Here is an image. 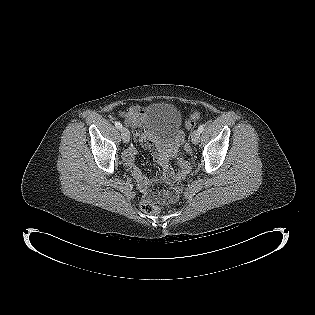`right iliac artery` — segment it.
<instances>
[{
    "mask_svg": "<svg viewBox=\"0 0 315 315\" xmlns=\"http://www.w3.org/2000/svg\"><path fill=\"white\" fill-rule=\"evenodd\" d=\"M114 124H115L116 128H118V129H121V128H122V124H121L120 122L115 121Z\"/></svg>",
    "mask_w": 315,
    "mask_h": 315,
    "instance_id": "obj_1",
    "label": "right iliac artery"
}]
</instances>
